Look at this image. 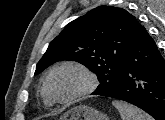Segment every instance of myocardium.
<instances>
[{
  "label": "myocardium",
  "instance_id": "obj_1",
  "mask_svg": "<svg viewBox=\"0 0 165 120\" xmlns=\"http://www.w3.org/2000/svg\"><path fill=\"white\" fill-rule=\"evenodd\" d=\"M67 68L78 70L85 77L86 84L81 90H79L75 94L67 98H58L52 93L50 89V80L57 71ZM97 84L98 80L96 75L86 65L76 61H64L50 69L44 80L43 87L45 93L52 102L66 104L91 94L96 89Z\"/></svg>",
  "mask_w": 165,
  "mask_h": 120
}]
</instances>
